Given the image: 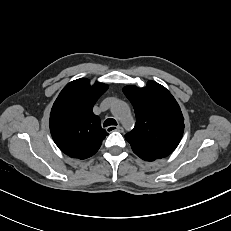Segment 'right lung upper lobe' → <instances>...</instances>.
Segmentation results:
<instances>
[{
	"instance_id": "right-lung-upper-lobe-1",
	"label": "right lung upper lobe",
	"mask_w": 231,
	"mask_h": 231,
	"mask_svg": "<svg viewBox=\"0 0 231 231\" xmlns=\"http://www.w3.org/2000/svg\"><path fill=\"white\" fill-rule=\"evenodd\" d=\"M108 89L103 83L90 85L80 78L68 83L50 113V131L59 149L70 157L86 159L94 155L108 133L93 112L98 98Z\"/></svg>"
}]
</instances>
